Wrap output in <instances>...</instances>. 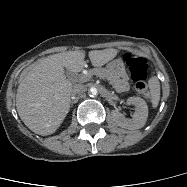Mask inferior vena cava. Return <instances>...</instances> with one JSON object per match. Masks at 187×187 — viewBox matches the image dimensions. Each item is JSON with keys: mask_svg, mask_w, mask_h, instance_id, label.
I'll use <instances>...</instances> for the list:
<instances>
[{"mask_svg": "<svg viewBox=\"0 0 187 187\" xmlns=\"http://www.w3.org/2000/svg\"><path fill=\"white\" fill-rule=\"evenodd\" d=\"M83 89V86L81 84H75L72 86L71 89V95L74 96L76 94H78L79 92H81Z\"/></svg>", "mask_w": 187, "mask_h": 187, "instance_id": "1", "label": "inferior vena cava"}]
</instances>
